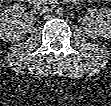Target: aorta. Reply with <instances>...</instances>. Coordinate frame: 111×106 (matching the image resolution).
Returning <instances> with one entry per match:
<instances>
[{"label":"aorta","mask_w":111,"mask_h":106,"mask_svg":"<svg viewBox=\"0 0 111 106\" xmlns=\"http://www.w3.org/2000/svg\"><path fill=\"white\" fill-rule=\"evenodd\" d=\"M55 12H56V14H57L58 16H62V15L64 14V10H63V8H61V7L57 8V9L55 10Z\"/></svg>","instance_id":"762f6f07"}]
</instances>
